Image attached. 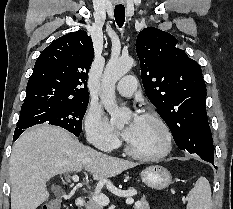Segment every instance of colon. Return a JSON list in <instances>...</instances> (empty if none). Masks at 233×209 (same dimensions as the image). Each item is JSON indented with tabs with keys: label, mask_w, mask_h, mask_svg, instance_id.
<instances>
[{
	"label": "colon",
	"mask_w": 233,
	"mask_h": 209,
	"mask_svg": "<svg viewBox=\"0 0 233 209\" xmlns=\"http://www.w3.org/2000/svg\"><path fill=\"white\" fill-rule=\"evenodd\" d=\"M42 209H61V201L59 199H52L47 201Z\"/></svg>",
	"instance_id": "colon-1"
}]
</instances>
